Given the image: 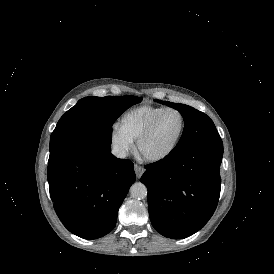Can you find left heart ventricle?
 Masks as SVG:
<instances>
[{
  "label": "left heart ventricle",
  "instance_id": "b2bd125f",
  "mask_svg": "<svg viewBox=\"0 0 274 274\" xmlns=\"http://www.w3.org/2000/svg\"><path fill=\"white\" fill-rule=\"evenodd\" d=\"M182 126L181 116L174 111L166 112L158 121L151 134L142 144V154L158 157L172 146Z\"/></svg>",
  "mask_w": 274,
  "mask_h": 274
}]
</instances>
